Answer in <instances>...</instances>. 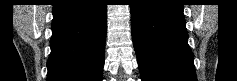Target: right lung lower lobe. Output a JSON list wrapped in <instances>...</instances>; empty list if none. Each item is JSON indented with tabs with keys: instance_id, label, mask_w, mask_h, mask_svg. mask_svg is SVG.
Returning <instances> with one entry per match:
<instances>
[{
	"instance_id": "1",
	"label": "right lung lower lobe",
	"mask_w": 237,
	"mask_h": 81,
	"mask_svg": "<svg viewBox=\"0 0 237 81\" xmlns=\"http://www.w3.org/2000/svg\"><path fill=\"white\" fill-rule=\"evenodd\" d=\"M52 13L47 81H102L106 4L59 0Z\"/></svg>"
}]
</instances>
